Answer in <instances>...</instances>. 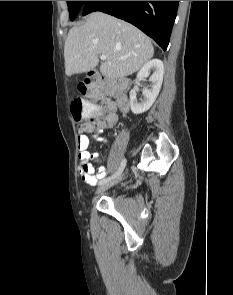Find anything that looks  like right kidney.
Wrapping results in <instances>:
<instances>
[{
    "mask_svg": "<svg viewBox=\"0 0 233 295\" xmlns=\"http://www.w3.org/2000/svg\"><path fill=\"white\" fill-rule=\"evenodd\" d=\"M150 71H153V74L150 76ZM164 74V65L163 62L159 59H153L143 65L140 71L137 74V79L141 80L145 77H149L151 85L149 88H144L142 91L143 98L139 101L137 100V91L138 88L134 87L130 91V106L131 111L134 114H141L146 112L152 104L155 102L163 81Z\"/></svg>",
    "mask_w": 233,
    "mask_h": 295,
    "instance_id": "ca27d5eb",
    "label": "right kidney"
}]
</instances>
